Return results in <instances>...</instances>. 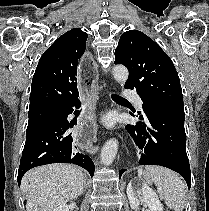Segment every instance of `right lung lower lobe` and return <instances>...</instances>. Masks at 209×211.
<instances>
[{
  "mask_svg": "<svg viewBox=\"0 0 209 211\" xmlns=\"http://www.w3.org/2000/svg\"><path fill=\"white\" fill-rule=\"evenodd\" d=\"M73 107H80L79 99L62 105L50 121L26 140L18 170L19 185L29 169L51 163H73L83 167L93 176V161L87 155L76 153V147L74 148L72 143L69 129L74 123L68 122L67 117L73 112Z\"/></svg>",
  "mask_w": 209,
  "mask_h": 211,
  "instance_id": "obj_1",
  "label": "right lung lower lobe"
}]
</instances>
